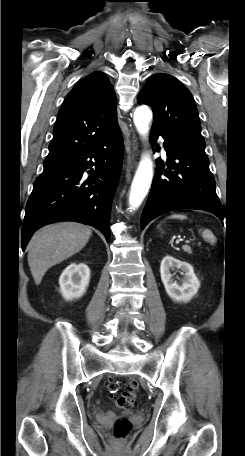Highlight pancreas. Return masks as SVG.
Wrapping results in <instances>:
<instances>
[{
    "label": "pancreas",
    "mask_w": 245,
    "mask_h": 456,
    "mask_svg": "<svg viewBox=\"0 0 245 456\" xmlns=\"http://www.w3.org/2000/svg\"><path fill=\"white\" fill-rule=\"evenodd\" d=\"M183 249H184V251H186V252L189 253V254L192 253V250H191V247H190V246H184Z\"/></svg>",
    "instance_id": "cf45deb5"
}]
</instances>
